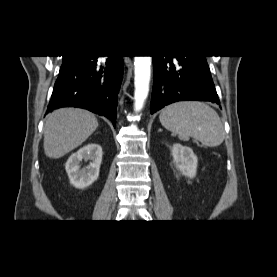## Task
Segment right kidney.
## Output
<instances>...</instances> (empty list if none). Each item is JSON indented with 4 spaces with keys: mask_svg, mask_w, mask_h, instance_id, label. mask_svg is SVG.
I'll use <instances>...</instances> for the list:
<instances>
[{
    "mask_svg": "<svg viewBox=\"0 0 277 277\" xmlns=\"http://www.w3.org/2000/svg\"><path fill=\"white\" fill-rule=\"evenodd\" d=\"M102 154L101 146L91 143L83 146L68 158L65 169L70 183L74 187L84 189L97 180L102 162ZM82 160H90L91 162L87 167L81 168L80 162Z\"/></svg>",
    "mask_w": 277,
    "mask_h": 277,
    "instance_id": "1",
    "label": "right kidney"
}]
</instances>
